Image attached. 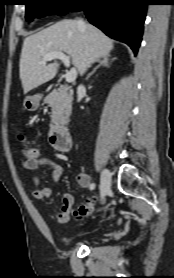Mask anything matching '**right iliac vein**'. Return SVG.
<instances>
[{"instance_id": "63e3f726", "label": "right iliac vein", "mask_w": 174, "mask_h": 278, "mask_svg": "<svg viewBox=\"0 0 174 278\" xmlns=\"http://www.w3.org/2000/svg\"><path fill=\"white\" fill-rule=\"evenodd\" d=\"M111 188V174L108 169H104L101 175L100 194L103 199L109 194Z\"/></svg>"}]
</instances>
